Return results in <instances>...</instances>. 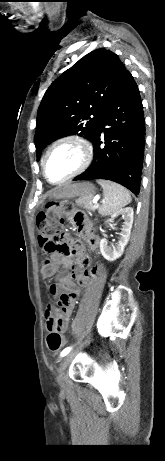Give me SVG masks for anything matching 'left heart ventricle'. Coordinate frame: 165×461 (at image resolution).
I'll return each instance as SVG.
<instances>
[{"mask_svg": "<svg viewBox=\"0 0 165 461\" xmlns=\"http://www.w3.org/2000/svg\"><path fill=\"white\" fill-rule=\"evenodd\" d=\"M81 155L74 145L56 147L46 161V172L52 181H58L72 172L80 163Z\"/></svg>", "mask_w": 165, "mask_h": 461, "instance_id": "left-heart-ventricle-1", "label": "left heart ventricle"}]
</instances>
